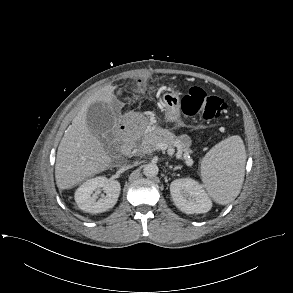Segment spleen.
<instances>
[{"mask_svg":"<svg viewBox=\"0 0 293 293\" xmlns=\"http://www.w3.org/2000/svg\"><path fill=\"white\" fill-rule=\"evenodd\" d=\"M245 162V146L238 135L222 140L204 156L201 178L216 203L226 205L238 196L244 181Z\"/></svg>","mask_w":293,"mask_h":293,"instance_id":"3e777b00","label":"spleen"}]
</instances>
